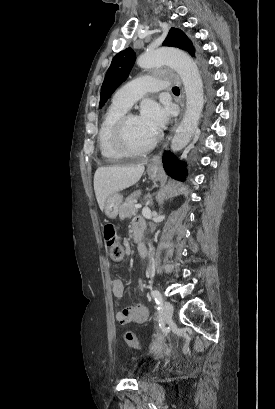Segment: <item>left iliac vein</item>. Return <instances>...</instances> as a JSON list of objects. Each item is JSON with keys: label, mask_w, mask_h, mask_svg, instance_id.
I'll list each match as a JSON object with an SVG mask.
<instances>
[{"label": "left iliac vein", "mask_w": 275, "mask_h": 409, "mask_svg": "<svg viewBox=\"0 0 275 409\" xmlns=\"http://www.w3.org/2000/svg\"><path fill=\"white\" fill-rule=\"evenodd\" d=\"M173 311H174L173 305L170 302L165 301L163 303V315L165 323H169L171 321Z\"/></svg>", "instance_id": "left-iliac-vein-1"}]
</instances>
